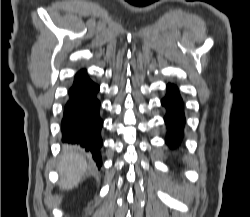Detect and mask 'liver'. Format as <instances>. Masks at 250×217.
<instances>
[{
    "instance_id": "1",
    "label": "liver",
    "mask_w": 250,
    "mask_h": 217,
    "mask_svg": "<svg viewBox=\"0 0 250 217\" xmlns=\"http://www.w3.org/2000/svg\"><path fill=\"white\" fill-rule=\"evenodd\" d=\"M87 168L88 164L84 156L75 148L67 147L61 156L58 166L61 174L60 188L72 189L74 186H77Z\"/></svg>"
}]
</instances>
